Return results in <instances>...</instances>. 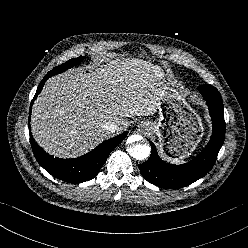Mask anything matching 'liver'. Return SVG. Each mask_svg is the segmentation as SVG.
Masks as SVG:
<instances>
[{"mask_svg": "<svg viewBox=\"0 0 248 248\" xmlns=\"http://www.w3.org/2000/svg\"><path fill=\"white\" fill-rule=\"evenodd\" d=\"M154 67L140 59H114L86 73L73 69L48 79L34 102L31 131L37 143L60 158L83 155L121 132L127 117L153 115L162 94Z\"/></svg>", "mask_w": 248, "mask_h": 248, "instance_id": "1", "label": "liver"}]
</instances>
